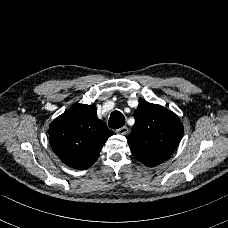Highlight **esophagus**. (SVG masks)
<instances>
[{
    "mask_svg": "<svg viewBox=\"0 0 228 228\" xmlns=\"http://www.w3.org/2000/svg\"><path fill=\"white\" fill-rule=\"evenodd\" d=\"M128 132H129V129L127 126H123L116 130V133L121 134V135H126V134H128Z\"/></svg>",
    "mask_w": 228,
    "mask_h": 228,
    "instance_id": "esophagus-1",
    "label": "esophagus"
}]
</instances>
